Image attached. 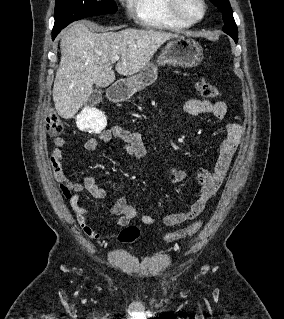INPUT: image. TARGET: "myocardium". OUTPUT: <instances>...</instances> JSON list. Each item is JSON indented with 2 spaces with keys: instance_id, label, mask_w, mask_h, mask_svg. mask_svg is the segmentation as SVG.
<instances>
[{
  "instance_id": "obj_1",
  "label": "myocardium",
  "mask_w": 284,
  "mask_h": 319,
  "mask_svg": "<svg viewBox=\"0 0 284 319\" xmlns=\"http://www.w3.org/2000/svg\"><path fill=\"white\" fill-rule=\"evenodd\" d=\"M199 1L202 5L203 11H202V15L198 19H189L188 17H186L183 14V12L180 8V0H168V6L170 9V12L172 13V15L175 18H177L178 20H180L188 25H193V24L201 22L205 18L206 13H207L206 1L205 0H199Z\"/></svg>"
}]
</instances>
